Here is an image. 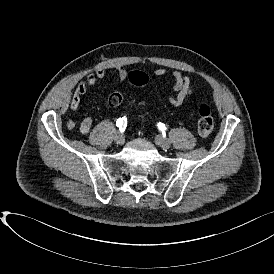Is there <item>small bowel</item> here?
<instances>
[{
	"label": "small bowel",
	"mask_w": 274,
	"mask_h": 274,
	"mask_svg": "<svg viewBox=\"0 0 274 274\" xmlns=\"http://www.w3.org/2000/svg\"><path fill=\"white\" fill-rule=\"evenodd\" d=\"M115 71L118 75V80L123 81L127 72L123 66H116ZM155 77H171L173 80L172 89L175 94L168 95V102L176 107L185 105L194 91V83L191 78L179 71V70H171L165 67L156 68L153 72ZM106 76L105 69H98L95 72H92L87 75L85 79L80 80L77 85L74 87L70 99V108L74 111L78 110L80 107L81 99L85 96L89 87L95 86L98 81L104 79ZM93 124V120L89 117L82 120L79 126V130L82 134H87Z\"/></svg>",
	"instance_id": "1"
}]
</instances>
